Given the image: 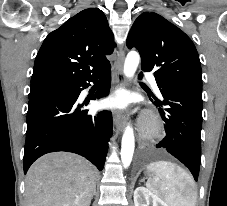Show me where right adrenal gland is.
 Here are the masks:
<instances>
[{
  "instance_id": "1",
  "label": "right adrenal gland",
  "mask_w": 227,
  "mask_h": 206,
  "mask_svg": "<svg viewBox=\"0 0 227 206\" xmlns=\"http://www.w3.org/2000/svg\"><path fill=\"white\" fill-rule=\"evenodd\" d=\"M96 193V188H95V190H94V194Z\"/></svg>"
}]
</instances>
